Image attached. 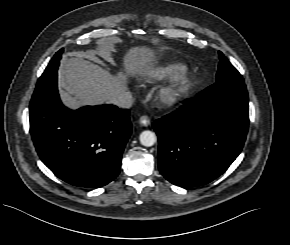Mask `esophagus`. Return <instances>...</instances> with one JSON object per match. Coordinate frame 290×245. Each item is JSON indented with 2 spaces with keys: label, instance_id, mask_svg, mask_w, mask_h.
Instances as JSON below:
<instances>
[{
  "label": "esophagus",
  "instance_id": "1",
  "mask_svg": "<svg viewBox=\"0 0 290 245\" xmlns=\"http://www.w3.org/2000/svg\"><path fill=\"white\" fill-rule=\"evenodd\" d=\"M139 123L142 125V126H148L150 125V119L147 115H142L140 118H139Z\"/></svg>",
  "mask_w": 290,
  "mask_h": 245
}]
</instances>
